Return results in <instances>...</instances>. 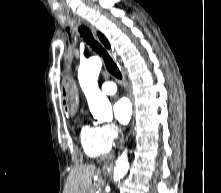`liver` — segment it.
I'll use <instances>...</instances> for the list:
<instances>
[{"label": "liver", "mask_w": 221, "mask_h": 193, "mask_svg": "<svg viewBox=\"0 0 221 193\" xmlns=\"http://www.w3.org/2000/svg\"><path fill=\"white\" fill-rule=\"evenodd\" d=\"M94 170L93 165H76L69 174L67 193L89 192Z\"/></svg>", "instance_id": "6515ba94"}]
</instances>
